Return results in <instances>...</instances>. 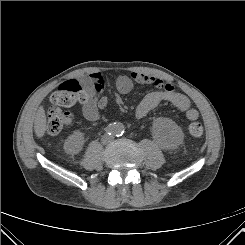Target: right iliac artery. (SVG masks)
Returning <instances> with one entry per match:
<instances>
[{"label": "right iliac artery", "mask_w": 245, "mask_h": 245, "mask_svg": "<svg viewBox=\"0 0 245 245\" xmlns=\"http://www.w3.org/2000/svg\"><path fill=\"white\" fill-rule=\"evenodd\" d=\"M105 131L107 134L111 135L114 133V127L111 126V125H108L106 128H105Z\"/></svg>", "instance_id": "obj_1"}]
</instances>
